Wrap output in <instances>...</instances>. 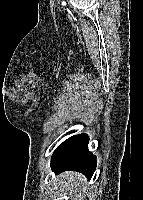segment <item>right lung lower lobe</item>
<instances>
[{"instance_id": "right-lung-lower-lobe-1", "label": "right lung lower lobe", "mask_w": 143, "mask_h": 200, "mask_svg": "<svg viewBox=\"0 0 143 200\" xmlns=\"http://www.w3.org/2000/svg\"><path fill=\"white\" fill-rule=\"evenodd\" d=\"M88 142L87 134L75 135L64 141L53 153L52 170L56 173L78 171L90 179L96 168V157L89 152Z\"/></svg>"}]
</instances>
